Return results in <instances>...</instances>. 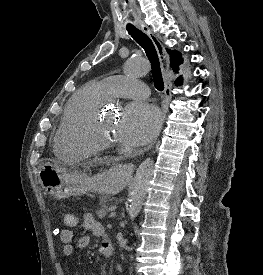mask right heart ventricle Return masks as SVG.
I'll return each instance as SVG.
<instances>
[{"instance_id":"obj_1","label":"right heart ventricle","mask_w":263,"mask_h":275,"mask_svg":"<svg viewBox=\"0 0 263 275\" xmlns=\"http://www.w3.org/2000/svg\"><path fill=\"white\" fill-rule=\"evenodd\" d=\"M108 100L107 92L98 82L86 84L72 96L65 106L54 140L58 154L70 159H82L96 153L78 141L77 131Z\"/></svg>"}]
</instances>
